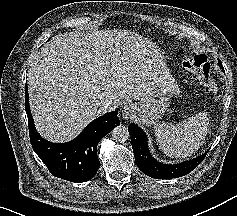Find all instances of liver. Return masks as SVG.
Here are the masks:
<instances>
[{
    "label": "liver",
    "instance_id": "obj_1",
    "mask_svg": "<svg viewBox=\"0 0 237 216\" xmlns=\"http://www.w3.org/2000/svg\"><path fill=\"white\" fill-rule=\"evenodd\" d=\"M162 82L161 72L124 65L108 31L59 35L42 48L28 71L32 113L43 137H75L106 111L100 101H142Z\"/></svg>",
    "mask_w": 237,
    "mask_h": 216
}]
</instances>
